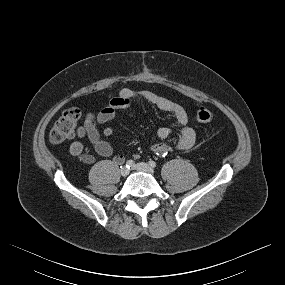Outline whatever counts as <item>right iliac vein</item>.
Segmentation results:
<instances>
[{
    "mask_svg": "<svg viewBox=\"0 0 285 285\" xmlns=\"http://www.w3.org/2000/svg\"><path fill=\"white\" fill-rule=\"evenodd\" d=\"M120 174H121L123 177H126V176L129 174V170H128L126 167H123V168L120 170Z\"/></svg>",
    "mask_w": 285,
    "mask_h": 285,
    "instance_id": "obj_1",
    "label": "right iliac vein"
}]
</instances>
